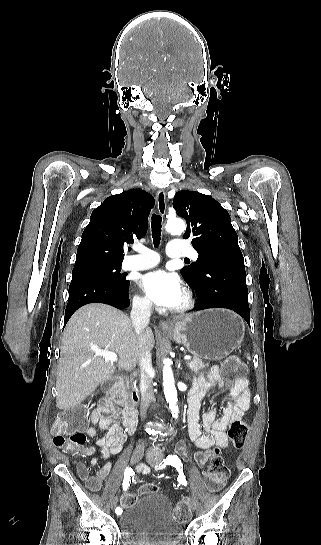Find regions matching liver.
<instances>
[{
	"label": "liver",
	"instance_id": "6515ba94",
	"mask_svg": "<svg viewBox=\"0 0 321 545\" xmlns=\"http://www.w3.org/2000/svg\"><path fill=\"white\" fill-rule=\"evenodd\" d=\"M151 329L136 335L132 321L122 311L91 303L69 319L62 337L57 369L56 407L73 409L115 373L116 367L96 351L117 353L119 369H133L154 347Z\"/></svg>",
	"mask_w": 321,
	"mask_h": 545
}]
</instances>
